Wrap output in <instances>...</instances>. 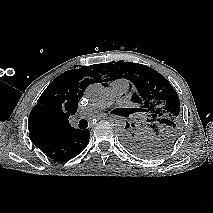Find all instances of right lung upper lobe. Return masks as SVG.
<instances>
[{"instance_id":"1","label":"right lung upper lobe","mask_w":213,"mask_h":213,"mask_svg":"<svg viewBox=\"0 0 213 213\" xmlns=\"http://www.w3.org/2000/svg\"><path fill=\"white\" fill-rule=\"evenodd\" d=\"M66 71L54 79L41 94L28 119L33 144L55 142L73 134L69 116L76 113L78 100L93 82L101 80L95 66Z\"/></svg>"}]
</instances>
